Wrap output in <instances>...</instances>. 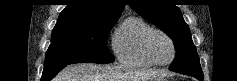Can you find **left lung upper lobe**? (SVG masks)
<instances>
[{
    "instance_id": "1",
    "label": "left lung upper lobe",
    "mask_w": 237,
    "mask_h": 81,
    "mask_svg": "<svg viewBox=\"0 0 237 81\" xmlns=\"http://www.w3.org/2000/svg\"><path fill=\"white\" fill-rule=\"evenodd\" d=\"M143 18L164 31L172 40L176 57L170 70L186 75H203L188 25L171 0H129Z\"/></svg>"
}]
</instances>
